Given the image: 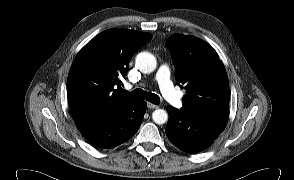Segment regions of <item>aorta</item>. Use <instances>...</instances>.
I'll list each match as a JSON object with an SVG mask.
<instances>
[{"mask_svg":"<svg viewBox=\"0 0 294 180\" xmlns=\"http://www.w3.org/2000/svg\"><path fill=\"white\" fill-rule=\"evenodd\" d=\"M136 67L142 72V73H151L155 70L157 61L153 54L149 52H140L135 59ZM152 119L153 121L158 124H164L168 120V114L163 109H156L152 113Z\"/></svg>","mask_w":294,"mask_h":180,"instance_id":"1","label":"aorta"}]
</instances>
